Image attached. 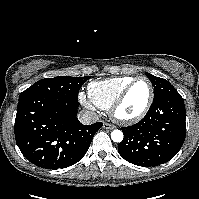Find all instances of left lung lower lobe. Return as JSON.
I'll return each instance as SVG.
<instances>
[{
  "label": "left lung lower lobe",
  "mask_w": 199,
  "mask_h": 199,
  "mask_svg": "<svg viewBox=\"0 0 199 199\" xmlns=\"http://www.w3.org/2000/svg\"><path fill=\"white\" fill-rule=\"evenodd\" d=\"M186 111L180 94L153 101L146 116L137 124L122 127L119 154L126 161L154 167L173 158L181 149L186 134Z\"/></svg>",
  "instance_id": "0a47b994"
}]
</instances>
